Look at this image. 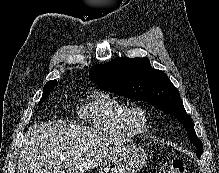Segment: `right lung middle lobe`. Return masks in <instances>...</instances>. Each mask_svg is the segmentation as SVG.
<instances>
[{
	"label": "right lung middle lobe",
	"instance_id": "right-lung-middle-lobe-1",
	"mask_svg": "<svg viewBox=\"0 0 219 173\" xmlns=\"http://www.w3.org/2000/svg\"><path fill=\"white\" fill-rule=\"evenodd\" d=\"M57 85L56 84H48V85H45L44 86V89H43V96L40 100V102H43L49 95L50 91L52 90L53 87H55Z\"/></svg>",
	"mask_w": 219,
	"mask_h": 173
}]
</instances>
